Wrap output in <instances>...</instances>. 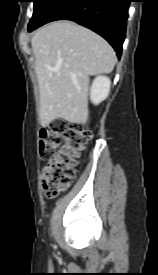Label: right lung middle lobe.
<instances>
[{
	"label": "right lung middle lobe",
	"instance_id": "1",
	"mask_svg": "<svg viewBox=\"0 0 158 275\" xmlns=\"http://www.w3.org/2000/svg\"><path fill=\"white\" fill-rule=\"evenodd\" d=\"M55 1L56 0H33L34 13L28 27L35 25Z\"/></svg>",
	"mask_w": 158,
	"mask_h": 275
}]
</instances>
